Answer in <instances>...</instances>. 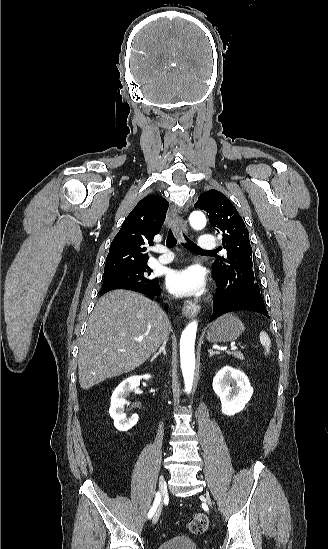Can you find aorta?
I'll use <instances>...</instances> for the list:
<instances>
[{"label": "aorta", "instance_id": "aorta-1", "mask_svg": "<svg viewBox=\"0 0 328 549\" xmlns=\"http://www.w3.org/2000/svg\"><path fill=\"white\" fill-rule=\"evenodd\" d=\"M190 225L195 230H201L206 225V217L200 211H194L189 217ZM197 321H192L187 325L180 339V360L181 369L184 378L185 391L190 393L193 386L195 370L194 345L197 333Z\"/></svg>", "mask_w": 328, "mask_h": 549}]
</instances>
